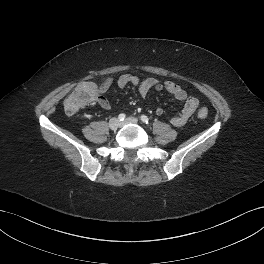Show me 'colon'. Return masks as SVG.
Returning <instances> with one entry per match:
<instances>
[{
  "instance_id": "obj_1",
  "label": "colon",
  "mask_w": 264,
  "mask_h": 264,
  "mask_svg": "<svg viewBox=\"0 0 264 264\" xmlns=\"http://www.w3.org/2000/svg\"><path fill=\"white\" fill-rule=\"evenodd\" d=\"M98 86L94 82H83L79 84L67 97L64 103V110L67 114L73 115L81 108L96 100ZM200 118H206L208 111L202 108L198 111Z\"/></svg>"
}]
</instances>
